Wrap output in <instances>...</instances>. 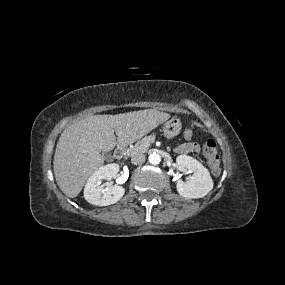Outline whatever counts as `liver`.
I'll return each instance as SVG.
<instances>
[{
  "label": "liver",
  "mask_w": 285,
  "mask_h": 285,
  "mask_svg": "<svg viewBox=\"0 0 285 285\" xmlns=\"http://www.w3.org/2000/svg\"><path fill=\"white\" fill-rule=\"evenodd\" d=\"M169 117L168 113L146 109L93 115L74 122L61 133L54 154L53 170L59 188L67 197H77L86 180L104 164L101 152L137 141Z\"/></svg>",
  "instance_id": "obj_1"
}]
</instances>
